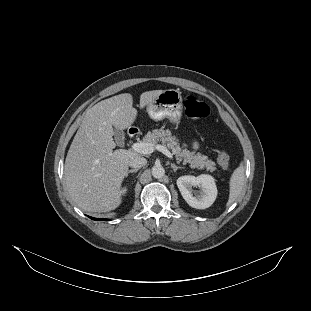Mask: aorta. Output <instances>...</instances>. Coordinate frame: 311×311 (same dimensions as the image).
I'll return each instance as SVG.
<instances>
[{
    "instance_id": "762f6f07",
    "label": "aorta",
    "mask_w": 311,
    "mask_h": 311,
    "mask_svg": "<svg viewBox=\"0 0 311 311\" xmlns=\"http://www.w3.org/2000/svg\"><path fill=\"white\" fill-rule=\"evenodd\" d=\"M152 176L156 179H161L165 176V170L161 165H154L152 168Z\"/></svg>"
}]
</instances>
